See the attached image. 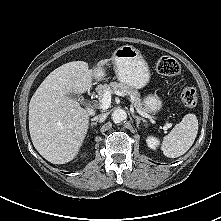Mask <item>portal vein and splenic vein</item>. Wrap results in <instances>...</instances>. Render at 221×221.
Masks as SVG:
<instances>
[{"label": "portal vein and splenic vein", "mask_w": 221, "mask_h": 221, "mask_svg": "<svg viewBox=\"0 0 221 221\" xmlns=\"http://www.w3.org/2000/svg\"><path fill=\"white\" fill-rule=\"evenodd\" d=\"M111 92L110 91H106L103 98L101 99L100 103L98 104V108L102 109V110H106L109 108L110 104H111ZM115 94L123 96L124 94H122L121 92H115ZM137 112L145 117V118H152L150 115H148L147 113L137 109ZM172 126L171 123H167L166 124V128H170Z\"/></svg>", "instance_id": "18ae733b"}]
</instances>
